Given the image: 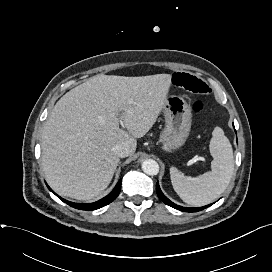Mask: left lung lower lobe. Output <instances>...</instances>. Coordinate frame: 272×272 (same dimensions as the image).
<instances>
[{"mask_svg":"<svg viewBox=\"0 0 272 272\" xmlns=\"http://www.w3.org/2000/svg\"><path fill=\"white\" fill-rule=\"evenodd\" d=\"M156 191H157V195L158 197L167 205L175 208V209H178V210H181V211H184V212H197V211H200V210H203L205 208H207L208 206L212 205H207V206H204V207H199V208H186V207H182V206H179V205H176L174 204L173 202H171L166 196H164V194L161 192L160 190V187H159V184L157 182L156 184Z\"/></svg>","mask_w":272,"mask_h":272,"instance_id":"1","label":"left lung lower lobe"}]
</instances>
